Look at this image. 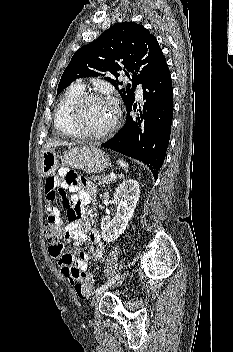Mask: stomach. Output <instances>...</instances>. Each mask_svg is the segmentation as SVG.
Wrapping results in <instances>:
<instances>
[{
	"label": "stomach",
	"instance_id": "0dacf381",
	"mask_svg": "<svg viewBox=\"0 0 233 352\" xmlns=\"http://www.w3.org/2000/svg\"><path fill=\"white\" fill-rule=\"evenodd\" d=\"M62 165L84 170L89 173H99L107 168L110 159L107 154L95 147H76L59 156L54 149H45L41 155V175L48 177Z\"/></svg>",
	"mask_w": 233,
	"mask_h": 352
}]
</instances>
